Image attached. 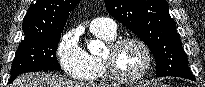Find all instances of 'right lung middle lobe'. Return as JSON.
I'll return each mask as SVG.
<instances>
[{"instance_id": "1", "label": "right lung middle lobe", "mask_w": 205, "mask_h": 87, "mask_svg": "<svg viewBox=\"0 0 205 87\" xmlns=\"http://www.w3.org/2000/svg\"><path fill=\"white\" fill-rule=\"evenodd\" d=\"M61 32L25 35L13 60L9 83L21 73L60 70L56 50Z\"/></svg>"}]
</instances>
